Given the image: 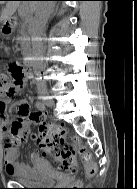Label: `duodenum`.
Instances as JSON below:
<instances>
[{
	"instance_id": "410a0bca",
	"label": "duodenum",
	"mask_w": 137,
	"mask_h": 189,
	"mask_svg": "<svg viewBox=\"0 0 137 189\" xmlns=\"http://www.w3.org/2000/svg\"><path fill=\"white\" fill-rule=\"evenodd\" d=\"M15 27H16V21L12 18L10 19H7L5 21V25H4V34L5 35H11L14 30H15ZM26 67L28 69V73L30 75H35V69L33 67V63L31 61H27L26 62Z\"/></svg>"
}]
</instances>
